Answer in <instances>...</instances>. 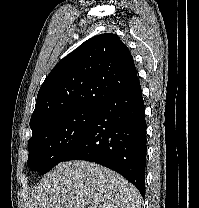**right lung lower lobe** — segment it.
I'll return each mask as SVG.
<instances>
[{
	"label": "right lung lower lobe",
	"mask_w": 199,
	"mask_h": 208,
	"mask_svg": "<svg viewBox=\"0 0 199 208\" xmlns=\"http://www.w3.org/2000/svg\"><path fill=\"white\" fill-rule=\"evenodd\" d=\"M146 121L139 80L97 106L76 145L62 161L86 160L120 173L144 196Z\"/></svg>",
	"instance_id": "1"
}]
</instances>
